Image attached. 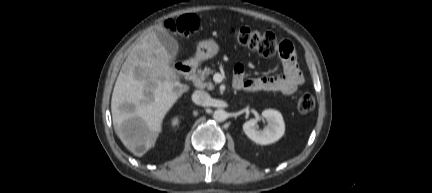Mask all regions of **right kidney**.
<instances>
[{"label": "right kidney", "instance_id": "right-kidney-1", "mask_svg": "<svg viewBox=\"0 0 432 193\" xmlns=\"http://www.w3.org/2000/svg\"><path fill=\"white\" fill-rule=\"evenodd\" d=\"M177 124H178V119H177V118L173 119V120H172V125L175 126V125H177Z\"/></svg>", "mask_w": 432, "mask_h": 193}]
</instances>
